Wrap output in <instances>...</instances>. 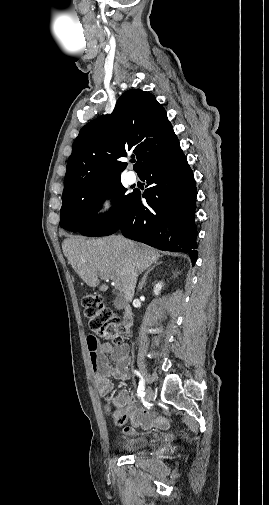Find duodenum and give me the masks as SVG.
Masks as SVG:
<instances>
[{
  "mask_svg": "<svg viewBox=\"0 0 269 505\" xmlns=\"http://www.w3.org/2000/svg\"><path fill=\"white\" fill-rule=\"evenodd\" d=\"M122 324L124 329L129 332L133 325V312L130 306H125L123 311Z\"/></svg>",
  "mask_w": 269,
  "mask_h": 505,
  "instance_id": "duodenum-1",
  "label": "duodenum"
}]
</instances>
